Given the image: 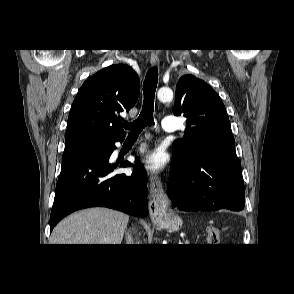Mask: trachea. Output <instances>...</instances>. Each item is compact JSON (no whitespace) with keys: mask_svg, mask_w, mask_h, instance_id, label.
Returning a JSON list of instances; mask_svg holds the SVG:
<instances>
[{"mask_svg":"<svg viewBox=\"0 0 294 294\" xmlns=\"http://www.w3.org/2000/svg\"><path fill=\"white\" fill-rule=\"evenodd\" d=\"M157 82L158 69L154 67L148 71L145 77L143 84L144 101L139 117L131 123L124 124L125 129L130 130L128 136H139L146 126H152L154 124L153 112Z\"/></svg>","mask_w":294,"mask_h":294,"instance_id":"1","label":"trachea"}]
</instances>
